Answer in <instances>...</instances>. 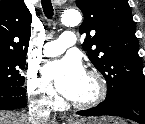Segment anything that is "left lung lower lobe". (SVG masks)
Here are the masks:
<instances>
[{
	"label": "left lung lower lobe",
	"instance_id": "0a47b994",
	"mask_svg": "<svg viewBox=\"0 0 145 124\" xmlns=\"http://www.w3.org/2000/svg\"><path fill=\"white\" fill-rule=\"evenodd\" d=\"M82 116L113 115L125 117L145 124V96L135 93H124L105 100L94 108L77 112Z\"/></svg>",
	"mask_w": 145,
	"mask_h": 124
}]
</instances>
